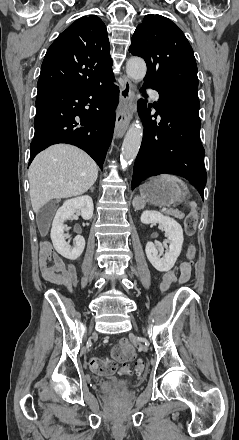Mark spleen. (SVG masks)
Returning a JSON list of instances; mask_svg holds the SVG:
<instances>
[{
  "mask_svg": "<svg viewBox=\"0 0 239 440\" xmlns=\"http://www.w3.org/2000/svg\"><path fill=\"white\" fill-rule=\"evenodd\" d=\"M161 178H164V180H167V182H178L180 186H182L183 190H187L186 184L182 182V180H179V178H176V176H169V174H162ZM191 208H197V204L195 202H190Z\"/></svg>",
  "mask_w": 239,
  "mask_h": 440,
  "instance_id": "3e777b00",
  "label": "spleen"
}]
</instances>
